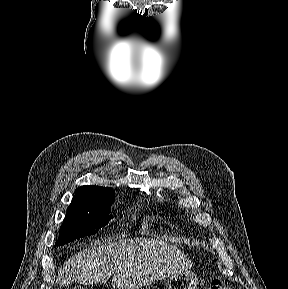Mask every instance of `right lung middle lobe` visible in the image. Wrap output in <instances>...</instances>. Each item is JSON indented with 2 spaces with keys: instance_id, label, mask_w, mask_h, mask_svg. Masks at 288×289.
Wrapping results in <instances>:
<instances>
[{
  "instance_id": "right-lung-middle-lobe-1",
  "label": "right lung middle lobe",
  "mask_w": 288,
  "mask_h": 289,
  "mask_svg": "<svg viewBox=\"0 0 288 289\" xmlns=\"http://www.w3.org/2000/svg\"><path fill=\"white\" fill-rule=\"evenodd\" d=\"M113 201L114 192L97 197H73L55 246L97 233L111 220L109 213Z\"/></svg>"
}]
</instances>
